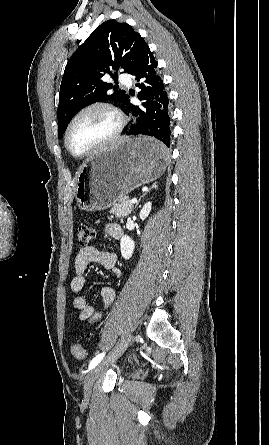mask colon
Returning <instances> with one entry per match:
<instances>
[{
	"label": "colon",
	"instance_id": "5ec220e1",
	"mask_svg": "<svg viewBox=\"0 0 269 445\" xmlns=\"http://www.w3.org/2000/svg\"><path fill=\"white\" fill-rule=\"evenodd\" d=\"M95 235V228L88 224L83 223L77 229V242L78 246L85 248L89 245ZM71 353L76 359H83L85 357V350L79 343H73L71 346Z\"/></svg>",
	"mask_w": 269,
	"mask_h": 445
}]
</instances>
